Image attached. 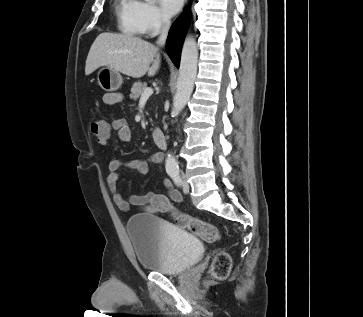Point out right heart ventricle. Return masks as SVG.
<instances>
[{"label": "right heart ventricle", "mask_w": 363, "mask_h": 317, "mask_svg": "<svg viewBox=\"0 0 363 317\" xmlns=\"http://www.w3.org/2000/svg\"><path fill=\"white\" fill-rule=\"evenodd\" d=\"M116 17L121 32L128 35H139L138 2L136 0H115Z\"/></svg>", "instance_id": "e07e8e85"}]
</instances>
